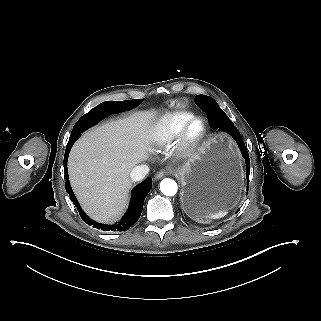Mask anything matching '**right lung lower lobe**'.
I'll return each instance as SVG.
<instances>
[{
  "label": "right lung lower lobe",
  "mask_w": 321,
  "mask_h": 321,
  "mask_svg": "<svg viewBox=\"0 0 321 321\" xmlns=\"http://www.w3.org/2000/svg\"><path fill=\"white\" fill-rule=\"evenodd\" d=\"M135 106L132 104H125V105H113V106H105L97 109L92 113V119L88 121L87 123L84 124H79L77 127L73 128V131L71 133L69 142L66 146L65 150V156H64V172L66 176V183H65V188L67 193L70 196L71 201L74 203V205L77 207V210L79 211L80 216L90 226H93L94 228L101 229L103 231H126L128 230L134 223L137 222L139 219L145 197L149 193V191L152 188V179L148 177L146 180H144L142 183L137 185L133 190H132V196L129 204V208L122 218V220L114 225H105V224H100L92 219H90L81 209L73 191L71 188V185L69 183L68 179V170H67V161H68V155L71 150V147L73 146L74 142L80 137L81 133L87 130L88 128L94 126L97 124L99 121L104 119L106 116L113 114V113H119L123 112L126 110H130L134 108Z\"/></svg>",
  "instance_id": "98d812e1"
}]
</instances>
